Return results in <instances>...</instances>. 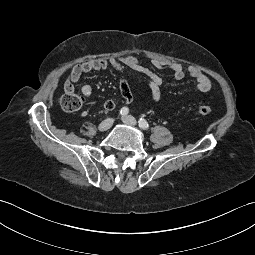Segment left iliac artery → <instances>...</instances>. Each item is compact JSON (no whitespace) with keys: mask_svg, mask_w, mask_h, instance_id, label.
Listing matches in <instances>:
<instances>
[{"mask_svg":"<svg viewBox=\"0 0 255 255\" xmlns=\"http://www.w3.org/2000/svg\"><path fill=\"white\" fill-rule=\"evenodd\" d=\"M138 123H139V127H141L142 129L146 130V129L149 128L148 122L145 119H143V118H140Z\"/></svg>","mask_w":255,"mask_h":255,"instance_id":"obj_1","label":"left iliac artery"}]
</instances>
